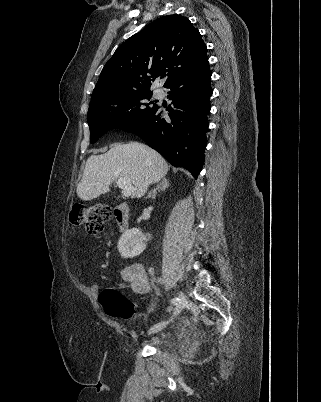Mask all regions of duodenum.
Instances as JSON below:
<instances>
[{
    "mask_svg": "<svg viewBox=\"0 0 321 402\" xmlns=\"http://www.w3.org/2000/svg\"><path fill=\"white\" fill-rule=\"evenodd\" d=\"M114 218L117 224V227L120 231H126L129 227V208L125 204H119L116 206L114 210Z\"/></svg>",
    "mask_w": 321,
    "mask_h": 402,
    "instance_id": "obj_1",
    "label": "duodenum"
}]
</instances>
